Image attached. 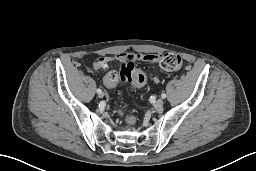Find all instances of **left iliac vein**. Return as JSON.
Masks as SVG:
<instances>
[{"label":"left iliac vein","instance_id":"1","mask_svg":"<svg viewBox=\"0 0 256 171\" xmlns=\"http://www.w3.org/2000/svg\"><path fill=\"white\" fill-rule=\"evenodd\" d=\"M163 100L162 99H158V100H156L155 102H154V107H155V109H161L162 108V106H163Z\"/></svg>","mask_w":256,"mask_h":171}]
</instances>
